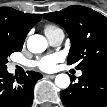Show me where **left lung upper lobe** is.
Masks as SVG:
<instances>
[{
    "label": "left lung upper lobe",
    "mask_w": 107,
    "mask_h": 107,
    "mask_svg": "<svg viewBox=\"0 0 107 107\" xmlns=\"http://www.w3.org/2000/svg\"><path fill=\"white\" fill-rule=\"evenodd\" d=\"M44 18L60 24L67 31L72 46L69 65L77 69H107V17L83 6H69L46 13Z\"/></svg>",
    "instance_id": "1"
}]
</instances>
